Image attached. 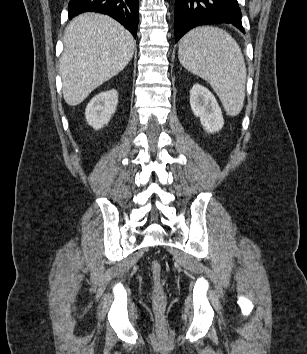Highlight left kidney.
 I'll list each match as a JSON object with an SVG mask.
<instances>
[{
    "label": "left kidney",
    "instance_id": "1",
    "mask_svg": "<svg viewBox=\"0 0 307 354\" xmlns=\"http://www.w3.org/2000/svg\"><path fill=\"white\" fill-rule=\"evenodd\" d=\"M190 105L195 116L208 133L218 132L224 125L221 108L214 95L199 84L190 90Z\"/></svg>",
    "mask_w": 307,
    "mask_h": 354
}]
</instances>
